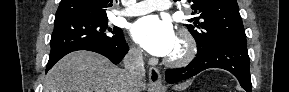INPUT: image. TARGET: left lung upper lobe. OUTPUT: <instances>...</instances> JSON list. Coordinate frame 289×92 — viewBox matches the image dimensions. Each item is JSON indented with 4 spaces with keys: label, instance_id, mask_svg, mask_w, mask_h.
Here are the masks:
<instances>
[{
    "label": "left lung upper lobe",
    "instance_id": "left-lung-upper-lobe-1",
    "mask_svg": "<svg viewBox=\"0 0 289 92\" xmlns=\"http://www.w3.org/2000/svg\"><path fill=\"white\" fill-rule=\"evenodd\" d=\"M193 2L192 14L186 25L195 38L199 53L227 40L246 41L242 18L236 0H188Z\"/></svg>",
    "mask_w": 289,
    "mask_h": 92
}]
</instances>
